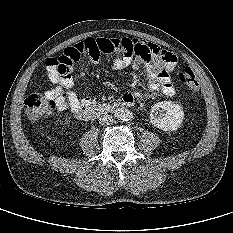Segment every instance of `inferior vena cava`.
<instances>
[{
    "label": "inferior vena cava",
    "mask_w": 233,
    "mask_h": 233,
    "mask_svg": "<svg viewBox=\"0 0 233 233\" xmlns=\"http://www.w3.org/2000/svg\"><path fill=\"white\" fill-rule=\"evenodd\" d=\"M115 122L114 118L111 115H103L99 118V123L101 125H110Z\"/></svg>",
    "instance_id": "inferior-vena-cava-1"
}]
</instances>
